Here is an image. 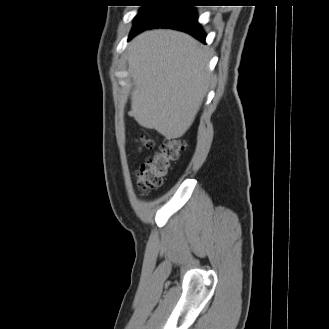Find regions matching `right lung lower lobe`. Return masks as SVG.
Wrapping results in <instances>:
<instances>
[{"mask_svg": "<svg viewBox=\"0 0 329 329\" xmlns=\"http://www.w3.org/2000/svg\"><path fill=\"white\" fill-rule=\"evenodd\" d=\"M189 2H178L166 8L151 24L137 28L130 34V38L136 34L153 28H171L189 33L201 42H205L206 35L197 22V15Z\"/></svg>", "mask_w": 329, "mask_h": 329, "instance_id": "98d812e1", "label": "right lung lower lobe"}]
</instances>
